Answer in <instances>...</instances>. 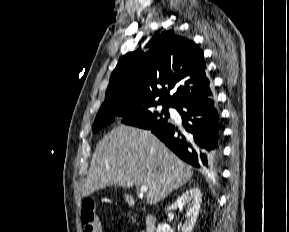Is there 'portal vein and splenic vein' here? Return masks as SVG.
<instances>
[{
  "mask_svg": "<svg viewBox=\"0 0 289 232\" xmlns=\"http://www.w3.org/2000/svg\"><path fill=\"white\" fill-rule=\"evenodd\" d=\"M147 191H148V187L147 186H141V188H140V192L141 193H145Z\"/></svg>",
  "mask_w": 289,
  "mask_h": 232,
  "instance_id": "18ae733b",
  "label": "portal vein and splenic vein"
}]
</instances>
